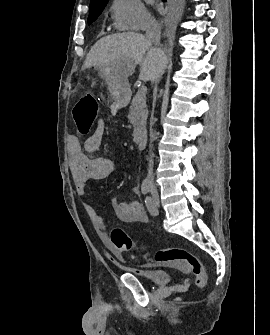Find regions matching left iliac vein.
Wrapping results in <instances>:
<instances>
[{
    "label": "left iliac vein",
    "mask_w": 270,
    "mask_h": 335,
    "mask_svg": "<svg viewBox=\"0 0 270 335\" xmlns=\"http://www.w3.org/2000/svg\"><path fill=\"white\" fill-rule=\"evenodd\" d=\"M152 201H153V205H154V211H153V215H157L158 214V207H159V196L158 193L156 191L152 192Z\"/></svg>",
    "instance_id": "4c4485c4"
}]
</instances>
